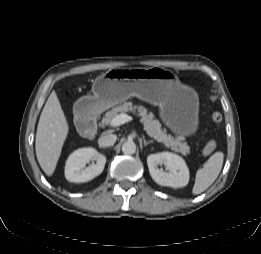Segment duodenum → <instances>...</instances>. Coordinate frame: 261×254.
<instances>
[{
  "label": "duodenum",
  "instance_id": "1",
  "mask_svg": "<svg viewBox=\"0 0 261 254\" xmlns=\"http://www.w3.org/2000/svg\"><path fill=\"white\" fill-rule=\"evenodd\" d=\"M76 124L85 137L94 138L98 130L96 109L84 102L80 103L76 112Z\"/></svg>",
  "mask_w": 261,
  "mask_h": 254
}]
</instances>
